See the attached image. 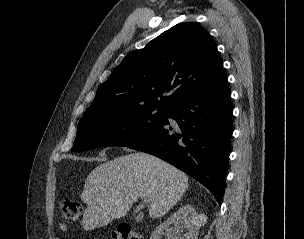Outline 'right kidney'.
<instances>
[{
    "label": "right kidney",
    "mask_w": 304,
    "mask_h": 239,
    "mask_svg": "<svg viewBox=\"0 0 304 239\" xmlns=\"http://www.w3.org/2000/svg\"><path fill=\"white\" fill-rule=\"evenodd\" d=\"M205 222L204 215H198L193 206L186 204L160 224L150 239H157L164 230L166 239H197L199 229Z\"/></svg>",
    "instance_id": "ca27d5eb"
}]
</instances>
